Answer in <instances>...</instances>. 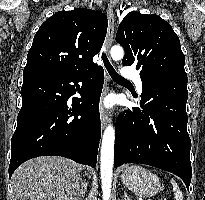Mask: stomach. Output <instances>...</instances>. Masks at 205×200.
<instances>
[{
  "label": "stomach",
  "mask_w": 205,
  "mask_h": 200,
  "mask_svg": "<svg viewBox=\"0 0 205 200\" xmlns=\"http://www.w3.org/2000/svg\"><path fill=\"white\" fill-rule=\"evenodd\" d=\"M121 180L124 186L141 197H153L161 190L159 177L151 171L138 166H127Z\"/></svg>",
  "instance_id": "obj_1"
}]
</instances>
